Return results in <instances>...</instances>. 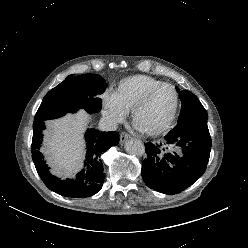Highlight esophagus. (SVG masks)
Here are the masks:
<instances>
[{"mask_svg": "<svg viewBox=\"0 0 248 248\" xmlns=\"http://www.w3.org/2000/svg\"><path fill=\"white\" fill-rule=\"evenodd\" d=\"M130 136L126 132L120 133V143L123 144L126 140H128Z\"/></svg>", "mask_w": 248, "mask_h": 248, "instance_id": "obj_1", "label": "esophagus"}]
</instances>
